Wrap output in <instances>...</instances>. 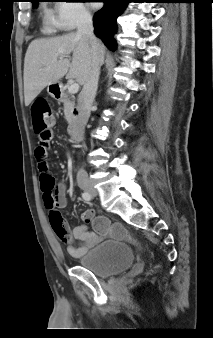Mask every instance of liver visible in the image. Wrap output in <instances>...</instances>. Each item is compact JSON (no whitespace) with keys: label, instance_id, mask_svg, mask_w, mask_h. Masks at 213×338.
I'll return each mask as SVG.
<instances>
[{"label":"liver","instance_id":"6515ba94","mask_svg":"<svg viewBox=\"0 0 213 338\" xmlns=\"http://www.w3.org/2000/svg\"><path fill=\"white\" fill-rule=\"evenodd\" d=\"M71 53L70 62L67 57ZM91 67V44L76 33L32 41L24 60L25 105H30L46 86L57 83L65 75L84 85Z\"/></svg>","mask_w":213,"mask_h":338}]
</instances>
